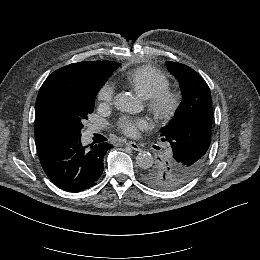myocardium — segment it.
Here are the masks:
<instances>
[{"label": "myocardium", "mask_w": 260, "mask_h": 260, "mask_svg": "<svg viewBox=\"0 0 260 260\" xmlns=\"http://www.w3.org/2000/svg\"><path fill=\"white\" fill-rule=\"evenodd\" d=\"M184 95L180 90L167 88L148 99L153 120L163 124L174 118L183 106Z\"/></svg>", "instance_id": "1"}]
</instances>
